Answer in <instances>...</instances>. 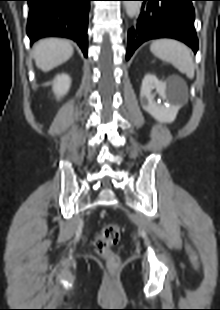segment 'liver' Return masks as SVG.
<instances>
[{
	"mask_svg": "<svg viewBox=\"0 0 220 310\" xmlns=\"http://www.w3.org/2000/svg\"><path fill=\"white\" fill-rule=\"evenodd\" d=\"M73 55L71 43L64 39L46 38L33 47V56L39 69L48 72L69 60Z\"/></svg>",
	"mask_w": 220,
	"mask_h": 310,
	"instance_id": "liver-1",
	"label": "liver"
}]
</instances>
